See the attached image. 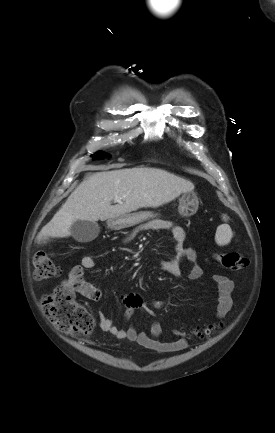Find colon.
Returning <instances> with one entry per match:
<instances>
[{
	"mask_svg": "<svg viewBox=\"0 0 275 433\" xmlns=\"http://www.w3.org/2000/svg\"><path fill=\"white\" fill-rule=\"evenodd\" d=\"M225 268L239 271L247 267L248 259L239 252L230 251L216 255ZM34 276L39 280L58 276L61 269L46 252H37L33 258ZM43 311L51 323L60 331L70 335H88L94 328V319L74 296L73 289L63 285L42 299ZM220 325L211 323L194 331L198 338L213 335Z\"/></svg>",
	"mask_w": 275,
	"mask_h": 433,
	"instance_id": "obj_1",
	"label": "colon"
}]
</instances>
